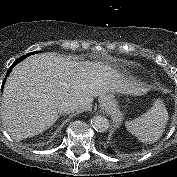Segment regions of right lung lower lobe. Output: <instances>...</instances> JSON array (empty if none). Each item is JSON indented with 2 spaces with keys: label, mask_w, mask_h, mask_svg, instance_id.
I'll list each match as a JSON object with an SVG mask.
<instances>
[{
  "label": "right lung lower lobe",
  "mask_w": 177,
  "mask_h": 177,
  "mask_svg": "<svg viewBox=\"0 0 177 177\" xmlns=\"http://www.w3.org/2000/svg\"><path fill=\"white\" fill-rule=\"evenodd\" d=\"M33 53L35 54L36 52H31V53H28V54H26V55H24V56L18 58V59L10 66V68H9V70H8V72H7V75H6L5 79L7 78L8 74L10 73V71L12 70V68H13L16 64H18L19 62H21V61H22L23 59H25L27 56L32 55ZM5 79H4V81H5ZM3 83H4V82H3Z\"/></svg>",
  "instance_id": "98d812e1"
}]
</instances>
